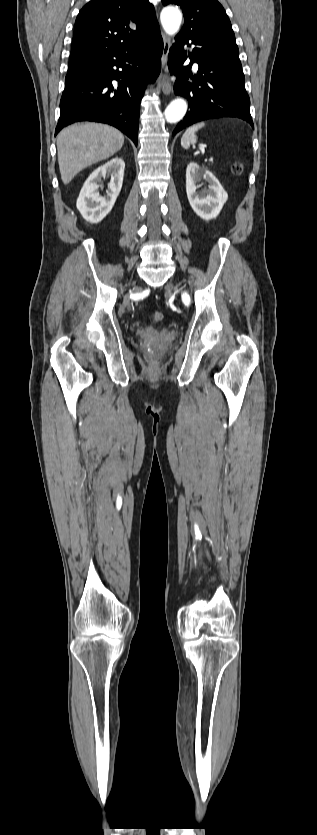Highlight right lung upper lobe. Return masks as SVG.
Returning <instances> with one entry per match:
<instances>
[{
	"mask_svg": "<svg viewBox=\"0 0 317 835\" xmlns=\"http://www.w3.org/2000/svg\"><path fill=\"white\" fill-rule=\"evenodd\" d=\"M156 28L148 0H92L76 18L71 53L116 52L147 38Z\"/></svg>",
	"mask_w": 317,
	"mask_h": 835,
	"instance_id": "right-lung-upper-lobe-1",
	"label": "right lung upper lobe"
}]
</instances>
